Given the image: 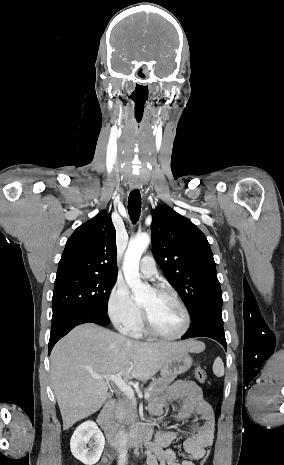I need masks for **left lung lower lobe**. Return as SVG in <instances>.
Returning a JSON list of instances; mask_svg holds the SVG:
<instances>
[{
	"label": "left lung lower lobe",
	"mask_w": 284,
	"mask_h": 465,
	"mask_svg": "<svg viewBox=\"0 0 284 465\" xmlns=\"http://www.w3.org/2000/svg\"><path fill=\"white\" fill-rule=\"evenodd\" d=\"M188 331L182 339L193 337H209L218 341L227 350L223 329L221 310L208 309L193 317Z\"/></svg>",
	"instance_id": "1"
}]
</instances>
